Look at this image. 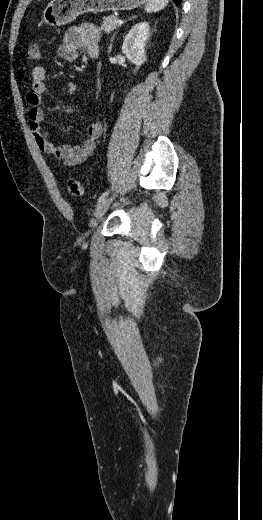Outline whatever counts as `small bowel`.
Segmentation results:
<instances>
[{"mask_svg": "<svg viewBox=\"0 0 263 520\" xmlns=\"http://www.w3.org/2000/svg\"><path fill=\"white\" fill-rule=\"evenodd\" d=\"M99 40L100 32L92 24L71 27L66 31L57 49V55L65 61L73 62L78 58L79 51L84 49L90 57L96 58L99 54ZM32 80V86L27 93V102L30 105L28 117L29 128L38 148L65 166L84 162L95 151L96 141L103 130L102 123L97 121L89 125L86 139L79 145L56 146L48 132L42 128L45 113L41 105L47 90L46 68L42 65L35 66L32 70Z\"/></svg>", "mask_w": 263, "mask_h": 520, "instance_id": "1", "label": "small bowel"}]
</instances>
